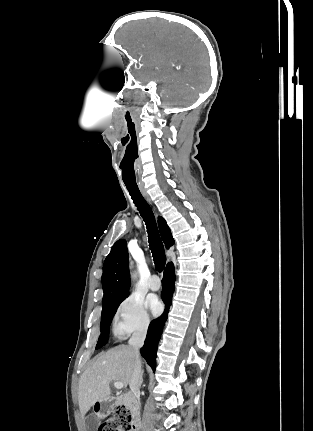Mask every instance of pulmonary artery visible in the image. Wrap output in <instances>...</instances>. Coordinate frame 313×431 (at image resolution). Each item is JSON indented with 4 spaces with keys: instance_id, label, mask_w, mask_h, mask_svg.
I'll return each instance as SVG.
<instances>
[{
    "instance_id": "1",
    "label": "pulmonary artery",
    "mask_w": 313,
    "mask_h": 431,
    "mask_svg": "<svg viewBox=\"0 0 313 431\" xmlns=\"http://www.w3.org/2000/svg\"><path fill=\"white\" fill-rule=\"evenodd\" d=\"M160 287H161V282L159 277L157 275H152L149 281V288L151 290L156 291V290H159Z\"/></svg>"
}]
</instances>
